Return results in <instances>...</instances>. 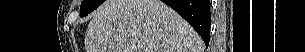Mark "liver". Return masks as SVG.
<instances>
[{
    "mask_svg": "<svg viewBox=\"0 0 305 52\" xmlns=\"http://www.w3.org/2000/svg\"><path fill=\"white\" fill-rule=\"evenodd\" d=\"M86 52H203L197 32L160 0H106L85 34Z\"/></svg>",
    "mask_w": 305,
    "mask_h": 52,
    "instance_id": "6515ba94",
    "label": "liver"
}]
</instances>
